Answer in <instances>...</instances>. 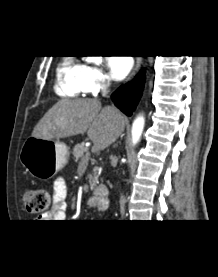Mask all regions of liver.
I'll return each instance as SVG.
<instances>
[{
    "mask_svg": "<svg viewBox=\"0 0 218 277\" xmlns=\"http://www.w3.org/2000/svg\"><path fill=\"white\" fill-rule=\"evenodd\" d=\"M124 128V117L114 107L102 108L96 99H62L37 123L32 137L51 140L87 132L98 151L115 142Z\"/></svg>",
    "mask_w": 218,
    "mask_h": 277,
    "instance_id": "6515ba94",
    "label": "liver"
}]
</instances>
